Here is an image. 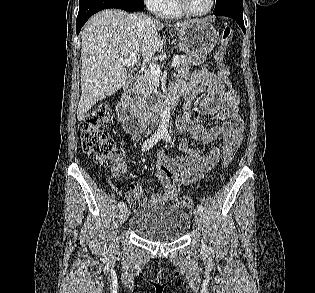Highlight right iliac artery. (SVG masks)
<instances>
[{"instance_id": "1", "label": "right iliac artery", "mask_w": 315, "mask_h": 293, "mask_svg": "<svg viewBox=\"0 0 315 293\" xmlns=\"http://www.w3.org/2000/svg\"><path fill=\"white\" fill-rule=\"evenodd\" d=\"M163 138V133L156 132L154 133L149 139H147L143 145H142V151H147L150 148H152L158 141H160ZM125 204L123 201H120L118 203V208L124 207Z\"/></svg>"}]
</instances>
